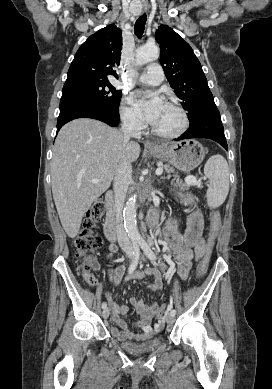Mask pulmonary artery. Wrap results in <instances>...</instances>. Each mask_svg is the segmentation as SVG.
Here are the masks:
<instances>
[{"instance_id": "obj_1", "label": "pulmonary artery", "mask_w": 272, "mask_h": 389, "mask_svg": "<svg viewBox=\"0 0 272 389\" xmlns=\"http://www.w3.org/2000/svg\"><path fill=\"white\" fill-rule=\"evenodd\" d=\"M164 79V72L158 63H150L144 73L139 76L140 82L148 85H158Z\"/></svg>"}]
</instances>
